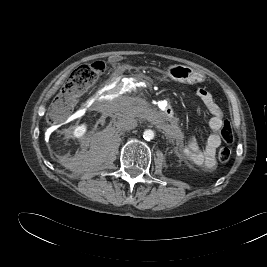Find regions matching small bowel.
Here are the masks:
<instances>
[{"label":"small bowel","mask_w":267,"mask_h":267,"mask_svg":"<svg viewBox=\"0 0 267 267\" xmlns=\"http://www.w3.org/2000/svg\"><path fill=\"white\" fill-rule=\"evenodd\" d=\"M196 97L211 116L209 127L212 133L208 137L203 149L200 148L194 138H191L182 148L181 153L193 166L212 169L215 166L216 151L221 145V138L218 132L223 124V111L207 89L203 87L198 88L196 90Z\"/></svg>","instance_id":"1"}]
</instances>
